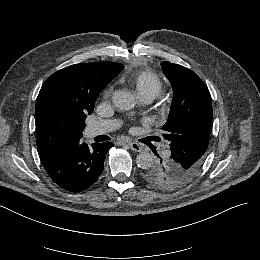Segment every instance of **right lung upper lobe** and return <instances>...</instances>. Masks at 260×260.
Instances as JSON below:
<instances>
[{
	"label": "right lung upper lobe",
	"mask_w": 260,
	"mask_h": 260,
	"mask_svg": "<svg viewBox=\"0 0 260 260\" xmlns=\"http://www.w3.org/2000/svg\"><path fill=\"white\" fill-rule=\"evenodd\" d=\"M124 68L115 62L75 64L51 75L36 100L37 149L43 166L82 138L80 106L99 93Z\"/></svg>",
	"instance_id": "cb5924a9"
}]
</instances>
